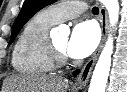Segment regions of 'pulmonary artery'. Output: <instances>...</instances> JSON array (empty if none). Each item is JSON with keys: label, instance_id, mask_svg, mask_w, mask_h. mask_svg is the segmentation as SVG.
Returning <instances> with one entry per match:
<instances>
[{"label": "pulmonary artery", "instance_id": "e3ab8cb5", "mask_svg": "<svg viewBox=\"0 0 127 92\" xmlns=\"http://www.w3.org/2000/svg\"><path fill=\"white\" fill-rule=\"evenodd\" d=\"M87 9V5L81 1H64L52 5L46 9L49 16L57 23L79 16Z\"/></svg>", "mask_w": 127, "mask_h": 92}]
</instances>
